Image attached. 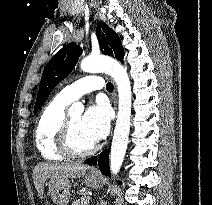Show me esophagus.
<instances>
[{
    "label": "esophagus",
    "instance_id": "esophagus-1",
    "mask_svg": "<svg viewBox=\"0 0 212 205\" xmlns=\"http://www.w3.org/2000/svg\"><path fill=\"white\" fill-rule=\"evenodd\" d=\"M117 103H118V97H117V90L116 88L114 89V92H113V105H114V108L117 110ZM94 174H97L98 171L97 170H93L92 171Z\"/></svg>",
    "mask_w": 212,
    "mask_h": 205
}]
</instances>
